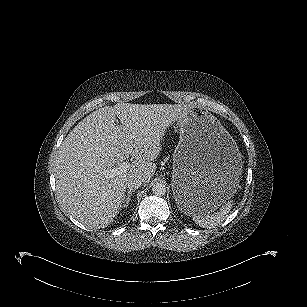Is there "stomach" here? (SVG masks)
Instances as JSON below:
<instances>
[{"label": "stomach", "mask_w": 307, "mask_h": 307, "mask_svg": "<svg viewBox=\"0 0 307 307\" xmlns=\"http://www.w3.org/2000/svg\"><path fill=\"white\" fill-rule=\"evenodd\" d=\"M172 190L185 214L216 209L236 193L242 156L232 136L207 109L188 106L179 120Z\"/></svg>", "instance_id": "0dacf381"}]
</instances>
